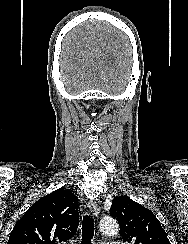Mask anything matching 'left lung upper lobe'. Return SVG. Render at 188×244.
Listing matches in <instances>:
<instances>
[{"label": "left lung upper lobe", "instance_id": "obj_1", "mask_svg": "<svg viewBox=\"0 0 188 244\" xmlns=\"http://www.w3.org/2000/svg\"><path fill=\"white\" fill-rule=\"evenodd\" d=\"M110 215L117 219L120 236L130 244H170L156 216L127 195L112 200Z\"/></svg>", "mask_w": 188, "mask_h": 244}]
</instances>
